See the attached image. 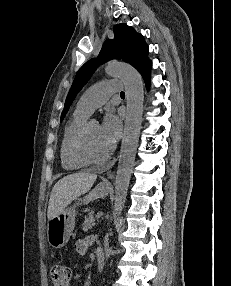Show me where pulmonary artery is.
<instances>
[{"mask_svg":"<svg viewBox=\"0 0 231 286\" xmlns=\"http://www.w3.org/2000/svg\"><path fill=\"white\" fill-rule=\"evenodd\" d=\"M122 90L119 80H106L97 83L88 89L79 99L77 108L91 114L96 108L102 106L111 95Z\"/></svg>","mask_w":231,"mask_h":286,"instance_id":"e3ab8cb5","label":"pulmonary artery"}]
</instances>
